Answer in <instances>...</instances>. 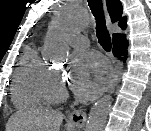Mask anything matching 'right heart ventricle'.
<instances>
[{
	"label": "right heart ventricle",
	"mask_w": 151,
	"mask_h": 131,
	"mask_svg": "<svg viewBox=\"0 0 151 131\" xmlns=\"http://www.w3.org/2000/svg\"><path fill=\"white\" fill-rule=\"evenodd\" d=\"M50 72L35 45L27 46L14 74L11 91L14 105L20 108L41 105L45 100L43 84Z\"/></svg>",
	"instance_id": "obj_1"
}]
</instances>
